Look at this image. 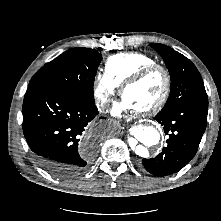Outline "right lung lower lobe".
Here are the masks:
<instances>
[{"label": "right lung lower lobe", "mask_w": 221, "mask_h": 221, "mask_svg": "<svg viewBox=\"0 0 221 221\" xmlns=\"http://www.w3.org/2000/svg\"><path fill=\"white\" fill-rule=\"evenodd\" d=\"M97 119L95 103L43 86L26 91L23 133L37 163L57 178H74L87 169L97 137L85 146L80 139Z\"/></svg>", "instance_id": "98d812e1"}]
</instances>
